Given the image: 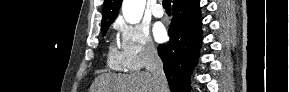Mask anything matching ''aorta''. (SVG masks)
<instances>
[{
  "instance_id": "obj_1",
  "label": "aorta",
  "mask_w": 289,
  "mask_h": 92,
  "mask_svg": "<svg viewBox=\"0 0 289 92\" xmlns=\"http://www.w3.org/2000/svg\"><path fill=\"white\" fill-rule=\"evenodd\" d=\"M146 0H124L122 13L125 20L130 24L138 23L144 12Z\"/></svg>"
}]
</instances>
